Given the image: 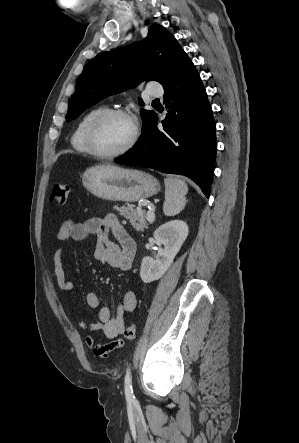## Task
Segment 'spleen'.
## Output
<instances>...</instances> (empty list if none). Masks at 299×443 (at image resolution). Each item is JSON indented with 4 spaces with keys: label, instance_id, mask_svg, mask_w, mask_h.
Listing matches in <instances>:
<instances>
[{
    "label": "spleen",
    "instance_id": "3e777b00",
    "mask_svg": "<svg viewBox=\"0 0 299 443\" xmlns=\"http://www.w3.org/2000/svg\"><path fill=\"white\" fill-rule=\"evenodd\" d=\"M165 184V201L163 212L167 216H174L180 213L186 204L187 184L177 178H167Z\"/></svg>",
    "mask_w": 299,
    "mask_h": 443
}]
</instances>
